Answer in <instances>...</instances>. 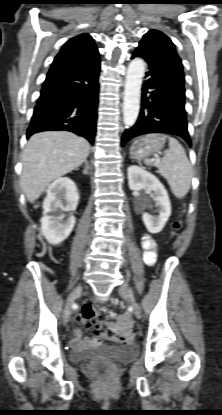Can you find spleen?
<instances>
[{"label":"spleen","instance_id":"obj_1","mask_svg":"<svg viewBox=\"0 0 222 415\" xmlns=\"http://www.w3.org/2000/svg\"><path fill=\"white\" fill-rule=\"evenodd\" d=\"M146 137L168 139L169 148L164 151V156L161 160L154 162L153 160L145 159L144 162L146 165L155 163L160 174L167 180L172 193L180 199L185 197L189 192L192 179V168L185 149L176 139L166 135L148 134Z\"/></svg>","mask_w":222,"mask_h":415}]
</instances>
